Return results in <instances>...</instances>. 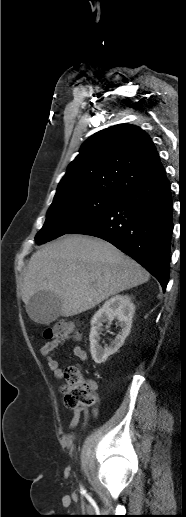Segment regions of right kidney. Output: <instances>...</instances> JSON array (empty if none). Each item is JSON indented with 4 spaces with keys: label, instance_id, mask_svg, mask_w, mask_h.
I'll list each match as a JSON object with an SVG mask.
<instances>
[{
    "label": "right kidney",
    "instance_id": "1",
    "mask_svg": "<svg viewBox=\"0 0 186 517\" xmlns=\"http://www.w3.org/2000/svg\"><path fill=\"white\" fill-rule=\"evenodd\" d=\"M134 313L135 306L131 298L128 295H116L107 300L94 314L91 320L89 340L90 352L95 363L101 364L105 362L110 355H113L122 347L126 337L130 333ZM115 318L120 323L121 331L115 339L111 341L109 346L103 348L99 344L103 323L107 322V328H109V324H111Z\"/></svg>",
    "mask_w": 186,
    "mask_h": 517
}]
</instances>
